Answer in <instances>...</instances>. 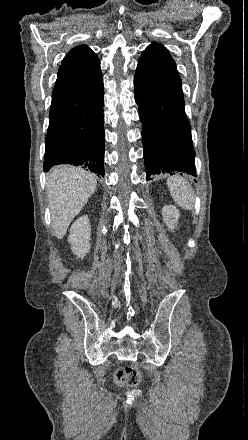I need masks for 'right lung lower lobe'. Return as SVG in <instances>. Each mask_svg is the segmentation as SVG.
Wrapping results in <instances>:
<instances>
[{
    "instance_id": "1",
    "label": "right lung lower lobe",
    "mask_w": 248,
    "mask_h": 440,
    "mask_svg": "<svg viewBox=\"0 0 248 440\" xmlns=\"http://www.w3.org/2000/svg\"><path fill=\"white\" fill-rule=\"evenodd\" d=\"M103 96L100 79L89 88L52 97L45 172L57 164H73L104 176Z\"/></svg>"
}]
</instances>
